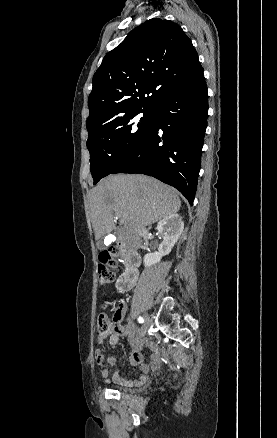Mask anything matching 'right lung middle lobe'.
Returning <instances> with one entry per match:
<instances>
[{"instance_id":"dd1d6c3e","label":"right lung middle lobe","mask_w":277,"mask_h":438,"mask_svg":"<svg viewBox=\"0 0 277 438\" xmlns=\"http://www.w3.org/2000/svg\"><path fill=\"white\" fill-rule=\"evenodd\" d=\"M140 113L143 115L138 116ZM152 113V109H143L87 128L94 184L112 174L143 140L152 124Z\"/></svg>"}]
</instances>
